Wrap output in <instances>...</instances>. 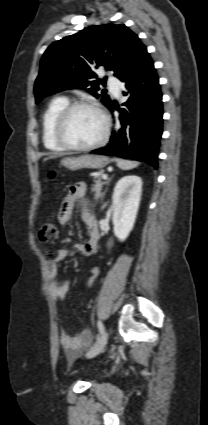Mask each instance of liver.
Here are the masks:
<instances>
[{
    "label": "liver",
    "instance_id": "1",
    "mask_svg": "<svg viewBox=\"0 0 208 425\" xmlns=\"http://www.w3.org/2000/svg\"><path fill=\"white\" fill-rule=\"evenodd\" d=\"M53 157H55V155L51 156L50 158H53ZM46 160H48V158H45V159H44V161H46Z\"/></svg>",
    "mask_w": 208,
    "mask_h": 425
}]
</instances>
